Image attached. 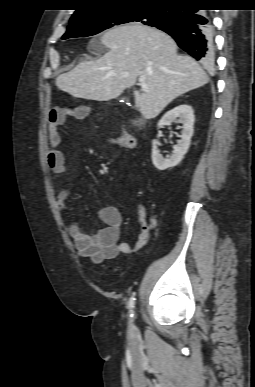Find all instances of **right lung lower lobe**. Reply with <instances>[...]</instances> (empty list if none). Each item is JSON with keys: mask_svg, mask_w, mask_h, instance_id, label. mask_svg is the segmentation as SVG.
<instances>
[{"mask_svg": "<svg viewBox=\"0 0 255 387\" xmlns=\"http://www.w3.org/2000/svg\"><path fill=\"white\" fill-rule=\"evenodd\" d=\"M199 4L173 7L167 23L157 27L174 38L178 46L203 64L214 62L213 27L209 13Z\"/></svg>", "mask_w": 255, "mask_h": 387, "instance_id": "obj_1", "label": "right lung lower lobe"}]
</instances>
